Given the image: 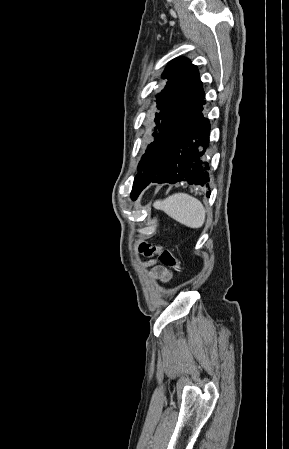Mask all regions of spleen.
<instances>
[{
  "mask_svg": "<svg viewBox=\"0 0 289 449\" xmlns=\"http://www.w3.org/2000/svg\"><path fill=\"white\" fill-rule=\"evenodd\" d=\"M153 206L189 228H200L205 222L206 211L202 203L186 193H175L165 200H157Z\"/></svg>",
  "mask_w": 289,
  "mask_h": 449,
  "instance_id": "spleen-1",
  "label": "spleen"
}]
</instances>
